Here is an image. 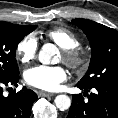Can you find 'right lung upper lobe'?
Segmentation results:
<instances>
[{
    "instance_id": "right-lung-upper-lobe-1",
    "label": "right lung upper lobe",
    "mask_w": 118,
    "mask_h": 118,
    "mask_svg": "<svg viewBox=\"0 0 118 118\" xmlns=\"http://www.w3.org/2000/svg\"><path fill=\"white\" fill-rule=\"evenodd\" d=\"M22 26V25H21ZM24 29H27V30H34L35 29V26H22ZM31 31V32H32Z\"/></svg>"
}]
</instances>
